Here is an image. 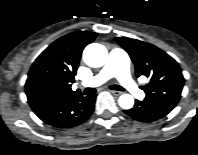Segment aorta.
<instances>
[{
  "mask_svg": "<svg viewBox=\"0 0 198 155\" xmlns=\"http://www.w3.org/2000/svg\"><path fill=\"white\" fill-rule=\"evenodd\" d=\"M107 59V49L101 44H89L83 51V60L90 67H102ZM118 103L123 109H131L134 105V98L129 94H122L118 99Z\"/></svg>",
  "mask_w": 198,
  "mask_h": 155,
  "instance_id": "762f6f07",
  "label": "aorta"
}]
</instances>
